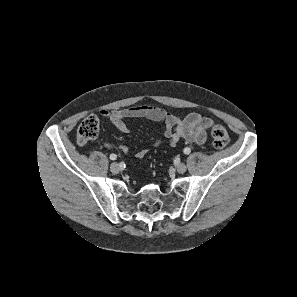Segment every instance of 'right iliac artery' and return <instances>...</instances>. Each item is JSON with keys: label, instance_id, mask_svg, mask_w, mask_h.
Masks as SVG:
<instances>
[{"label": "right iliac artery", "instance_id": "right-iliac-artery-1", "mask_svg": "<svg viewBox=\"0 0 297 297\" xmlns=\"http://www.w3.org/2000/svg\"><path fill=\"white\" fill-rule=\"evenodd\" d=\"M109 158H110L111 160H116L117 155H116V154H111Z\"/></svg>", "mask_w": 297, "mask_h": 297}]
</instances>
